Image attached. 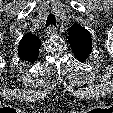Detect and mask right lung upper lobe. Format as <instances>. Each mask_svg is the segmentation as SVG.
I'll use <instances>...</instances> for the list:
<instances>
[{"label":"right lung upper lobe","mask_w":113,"mask_h":113,"mask_svg":"<svg viewBox=\"0 0 113 113\" xmlns=\"http://www.w3.org/2000/svg\"><path fill=\"white\" fill-rule=\"evenodd\" d=\"M40 39L32 34H25L18 45V55L21 60L33 63L39 56Z\"/></svg>","instance_id":"cb5924a9"}]
</instances>
